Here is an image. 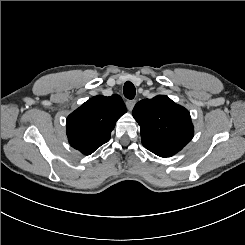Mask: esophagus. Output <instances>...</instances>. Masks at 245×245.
Returning <instances> with one entry per match:
<instances>
[{"mask_svg":"<svg viewBox=\"0 0 245 245\" xmlns=\"http://www.w3.org/2000/svg\"><path fill=\"white\" fill-rule=\"evenodd\" d=\"M136 101L134 99H128L126 101L127 108L131 111L135 105Z\"/></svg>","mask_w":245,"mask_h":245,"instance_id":"34e87169","label":"esophagus"}]
</instances>
